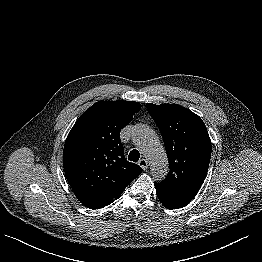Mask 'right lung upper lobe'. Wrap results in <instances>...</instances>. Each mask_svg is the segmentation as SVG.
<instances>
[{"label": "right lung upper lobe", "instance_id": "obj_1", "mask_svg": "<svg viewBox=\"0 0 262 262\" xmlns=\"http://www.w3.org/2000/svg\"><path fill=\"white\" fill-rule=\"evenodd\" d=\"M132 101H99L76 121L63 151V166L77 199L100 209L118 199L142 168L124 157L120 131L138 113Z\"/></svg>", "mask_w": 262, "mask_h": 262}]
</instances>
